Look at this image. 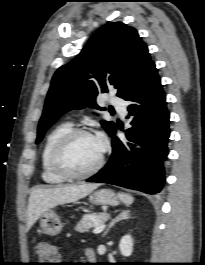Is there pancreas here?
<instances>
[{
    "instance_id": "pancreas-1",
    "label": "pancreas",
    "mask_w": 205,
    "mask_h": 265,
    "mask_svg": "<svg viewBox=\"0 0 205 265\" xmlns=\"http://www.w3.org/2000/svg\"><path fill=\"white\" fill-rule=\"evenodd\" d=\"M109 217L107 213H88L85 214L82 219L78 222V224L75 227V230L84 233L88 232L90 228H93L96 226L94 223V220L98 222V224H103L105 220Z\"/></svg>"
}]
</instances>
